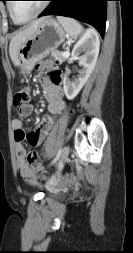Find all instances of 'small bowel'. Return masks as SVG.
Segmentation results:
<instances>
[{"label": "small bowel", "instance_id": "obj_1", "mask_svg": "<svg viewBox=\"0 0 133 253\" xmlns=\"http://www.w3.org/2000/svg\"><path fill=\"white\" fill-rule=\"evenodd\" d=\"M36 70L41 76L43 94L48 103V114L37 127L28 133H26L23 129L21 118H15L11 122L14 132L17 165L21 176L27 182L31 183L35 181L36 173L27 161V151L23 146V141L27 140V142L33 147L40 146L52 128L51 116L60 114L66 106L61 86L62 79L60 71L54 69L47 61L37 64ZM32 112V104H26L22 107H19L18 110L20 117H28Z\"/></svg>", "mask_w": 133, "mask_h": 253}]
</instances>
